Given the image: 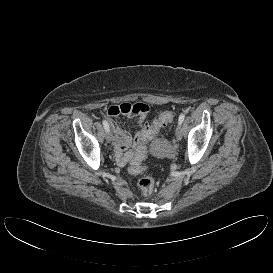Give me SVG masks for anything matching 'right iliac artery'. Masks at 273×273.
Returning <instances> with one entry per match:
<instances>
[{
  "instance_id": "1",
  "label": "right iliac artery",
  "mask_w": 273,
  "mask_h": 273,
  "mask_svg": "<svg viewBox=\"0 0 273 273\" xmlns=\"http://www.w3.org/2000/svg\"><path fill=\"white\" fill-rule=\"evenodd\" d=\"M102 123H103V126H104L105 131H106V132L109 131V125H108L107 121H106V120H103Z\"/></svg>"
}]
</instances>
